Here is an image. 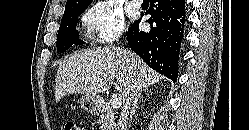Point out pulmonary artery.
<instances>
[{"mask_svg":"<svg viewBox=\"0 0 249 130\" xmlns=\"http://www.w3.org/2000/svg\"><path fill=\"white\" fill-rule=\"evenodd\" d=\"M131 2L136 8H140L143 0H131Z\"/></svg>","mask_w":249,"mask_h":130,"instance_id":"obj_1","label":"pulmonary artery"}]
</instances>
